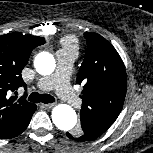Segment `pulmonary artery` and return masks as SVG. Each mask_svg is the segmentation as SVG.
Listing matches in <instances>:
<instances>
[{"label":"pulmonary artery","instance_id":"e3ab8cb5","mask_svg":"<svg viewBox=\"0 0 153 153\" xmlns=\"http://www.w3.org/2000/svg\"><path fill=\"white\" fill-rule=\"evenodd\" d=\"M76 54L74 51L60 50L56 54L57 68L54 74L39 79L37 86L41 90L55 89L58 96L73 107L81 105V99L69 84V76Z\"/></svg>","mask_w":153,"mask_h":153}]
</instances>
